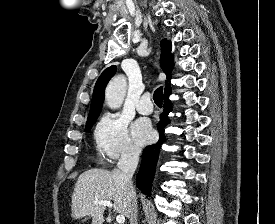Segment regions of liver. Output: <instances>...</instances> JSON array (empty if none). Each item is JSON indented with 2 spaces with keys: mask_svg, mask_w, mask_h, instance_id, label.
Listing matches in <instances>:
<instances>
[{
  "mask_svg": "<svg viewBox=\"0 0 275 224\" xmlns=\"http://www.w3.org/2000/svg\"><path fill=\"white\" fill-rule=\"evenodd\" d=\"M101 200L113 201L117 213L130 217L128 192L118 169H91L79 175L72 194V217L89 216L92 224H103L106 207L95 203Z\"/></svg>",
  "mask_w": 275,
  "mask_h": 224,
  "instance_id": "1",
  "label": "liver"
}]
</instances>
